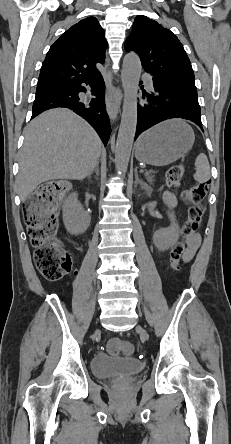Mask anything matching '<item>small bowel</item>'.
<instances>
[{"label":"small bowel","instance_id":"small-bowel-1","mask_svg":"<svg viewBox=\"0 0 231 444\" xmlns=\"http://www.w3.org/2000/svg\"><path fill=\"white\" fill-rule=\"evenodd\" d=\"M164 199L167 204L173 206L176 204V196L175 194L171 192H166L164 194ZM188 247L184 253V260L186 262L190 261L192 257L194 256L195 252L197 251L199 245H200V236L198 234L193 235L188 241H187Z\"/></svg>","mask_w":231,"mask_h":444}]
</instances>
